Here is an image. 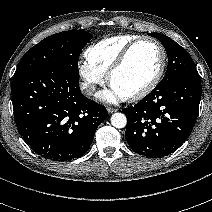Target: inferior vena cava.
Masks as SVG:
<instances>
[{
    "label": "inferior vena cava",
    "mask_w": 212,
    "mask_h": 212,
    "mask_svg": "<svg viewBox=\"0 0 212 212\" xmlns=\"http://www.w3.org/2000/svg\"><path fill=\"white\" fill-rule=\"evenodd\" d=\"M80 88L85 95H91L95 91V85L89 83H82Z\"/></svg>",
    "instance_id": "602c4592"
}]
</instances>
